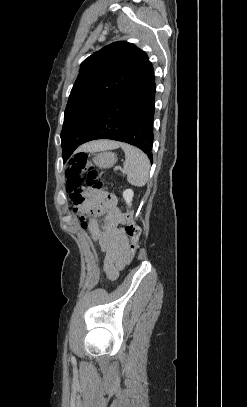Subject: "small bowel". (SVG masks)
<instances>
[{
    "label": "small bowel",
    "instance_id": "1",
    "mask_svg": "<svg viewBox=\"0 0 247 407\" xmlns=\"http://www.w3.org/2000/svg\"><path fill=\"white\" fill-rule=\"evenodd\" d=\"M86 196L85 201L74 204V211L80 215L81 227L103 251L106 274L116 278L129 261V238L121 228L123 214L116 199L108 193L92 192Z\"/></svg>",
    "mask_w": 247,
    "mask_h": 407
}]
</instances>
